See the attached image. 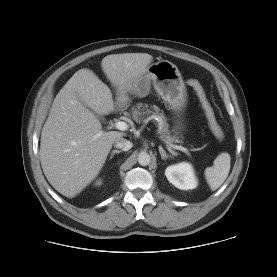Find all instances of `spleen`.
Here are the masks:
<instances>
[{"label":"spleen","mask_w":277,"mask_h":277,"mask_svg":"<svg viewBox=\"0 0 277 277\" xmlns=\"http://www.w3.org/2000/svg\"><path fill=\"white\" fill-rule=\"evenodd\" d=\"M231 157L228 153H220L211 167L205 169L204 174L211 190H217L228 177Z\"/></svg>","instance_id":"obj_1"}]
</instances>
